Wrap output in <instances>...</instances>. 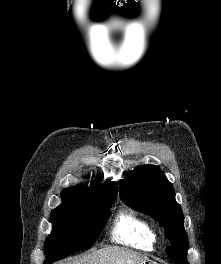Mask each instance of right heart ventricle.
Segmentation results:
<instances>
[{
    "instance_id": "1",
    "label": "right heart ventricle",
    "mask_w": 221,
    "mask_h": 264,
    "mask_svg": "<svg viewBox=\"0 0 221 264\" xmlns=\"http://www.w3.org/2000/svg\"><path fill=\"white\" fill-rule=\"evenodd\" d=\"M111 238L117 243L144 251L153 250L157 242V235L151 223L130 211L118 214L112 227Z\"/></svg>"
}]
</instances>
